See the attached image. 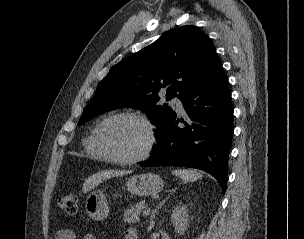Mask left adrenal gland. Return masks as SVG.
I'll return each instance as SVG.
<instances>
[{
    "instance_id": "left-adrenal-gland-1",
    "label": "left adrenal gland",
    "mask_w": 304,
    "mask_h": 239,
    "mask_svg": "<svg viewBox=\"0 0 304 239\" xmlns=\"http://www.w3.org/2000/svg\"><path fill=\"white\" fill-rule=\"evenodd\" d=\"M169 198V196L167 198H165L164 200H162L158 206H156V208L153 210L151 216H150V221H149V226L147 228L148 231H151L152 228L154 227V218L156 216V214L158 213V210L163 206V204L166 202V200Z\"/></svg>"
}]
</instances>
